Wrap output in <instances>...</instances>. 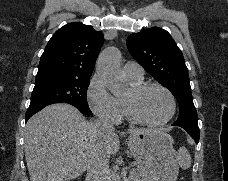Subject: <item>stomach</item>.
<instances>
[{
  "instance_id": "0dacf381",
  "label": "stomach",
  "mask_w": 228,
  "mask_h": 181,
  "mask_svg": "<svg viewBox=\"0 0 228 181\" xmlns=\"http://www.w3.org/2000/svg\"><path fill=\"white\" fill-rule=\"evenodd\" d=\"M140 181H177L179 165L173 139L162 131L135 133L128 139Z\"/></svg>"
}]
</instances>
